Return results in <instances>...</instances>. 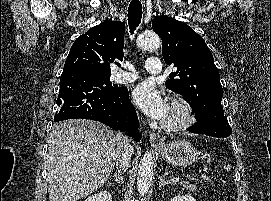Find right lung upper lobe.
Wrapping results in <instances>:
<instances>
[{
	"mask_svg": "<svg viewBox=\"0 0 271 201\" xmlns=\"http://www.w3.org/2000/svg\"><path fill=\"white\" fill-rule=\"evenodd\" d=\"M125 24L104 21L89 29L73 43L67 56L64 71L83 69L101 74H111L113 64L123 60Z\"/></svg>",
	"mask_w": 271,
	"mask_h": 201,
	"instance_id": "cb5924a9",
	"label": "right lung upper lobe"
}]
</instances>
